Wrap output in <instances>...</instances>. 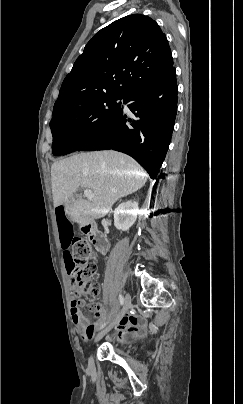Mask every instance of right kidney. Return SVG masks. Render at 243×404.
I'll use <instances>...</instances> for the list:
<instances>
[{"label": "right kidney", "mask_w": 243, "mask_h": 404, "mask_svg": "<svg viewBox=\"0 0 243 404\" xmlns=\"http://www.w3.org/2000/svg\"><path fill=\"white\" fill-rule=\"evenodd\" d=\"M136 218L137 212H135L132 202H124L114 212V226L117 230L127 232L135 224Z\"/></svg>", "instance_id": "obj_1"}]
</instances>
